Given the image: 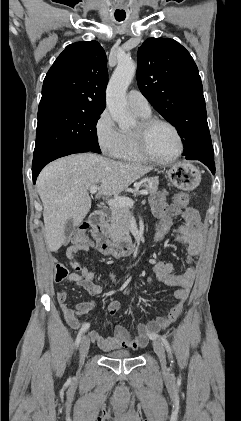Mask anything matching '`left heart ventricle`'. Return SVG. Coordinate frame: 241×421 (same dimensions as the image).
<instances>
[{
    "instance_id": "left-heart-ventricle-1",
    "label": "left heart ventricle",
    "mask_w": 241,
    "mask_h": 421,
    "mask_svg": "<svg viewBox=\"0 0 241 421\" xmlns=\"http://www.w3.org/2000/svg\"><path fill=\"white\" fill-rule=\"evenodd\" d=\"M148 145L158 158H169L178 151V140L171 128L165 125L155 126L149 133Z\"/></svg>"
}]
</instances>
